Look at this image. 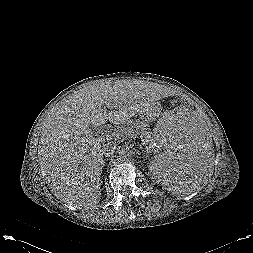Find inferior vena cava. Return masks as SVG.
<instances>
[{
	"label": "inferior vena cava",
	"mask_w": 253,
	"mask_h": 253,
	"mask_svg": "<svg viewBox=\"0 0 253 253\" xmlns=\"http://www.w3.org/2000/svg\"><path fill=\"white\" fill-rule=\"evenodd\" d=\"M116 150H117V147L113 143H108L104 146V148H102L103 154L106 157L113 155L116 152Z\"/></svg>",
	"instance_id": "602c4592"
}]
</instances>
